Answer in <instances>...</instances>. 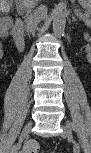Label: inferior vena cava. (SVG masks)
Instances as JSON below:
<instances>
[{"label":"inferior vena cava","instance_id":"obj_1","mask_svg":"<svg viewBox=\"0 0 91 153\" xmlns=\"http://www.w3.org/2000/svg\"><path fill=\"white\" fill-rule=\"evenodd\" d=\"M47 14V8L44 5L38 7L30 17H28L27 21V31L29 33L34 34L35 29L37 28L38 23L44 18Z\"/></svg>","mask_w":91,"mask_h":153}]
</instances>
